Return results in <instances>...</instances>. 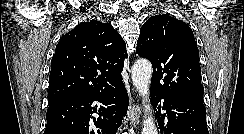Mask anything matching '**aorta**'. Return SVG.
<instances>
[{"mask_svg":"<svg viewBox=\"0 0 244 134\" xmlns=\"http://www.w3.org/2000/svg\"><path fill=\"white\" fill-rule=\"evenodd\" d=\"M152 76V65L147 59L137 60L132 67V81L139 95L143 97V104L147 117L143 121L141 134H158L155 126L154 117L152 116L151 104L148 100L150 91V81Z\"/></svg>","mask_w":244,"mask_h":134,"instance_id":"1","label":"aorta"}]
</instances>
